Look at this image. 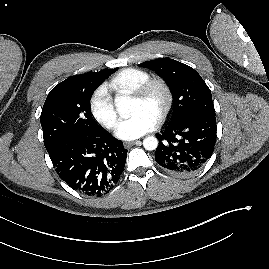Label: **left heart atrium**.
Wrapping results in <instances>:
<instances>
[{
  "label": "left heart atrium",
  "mask_w": 269,
  "mask_h": 269,
  "mask_svg": "<svg viewBox=\"0 0 269 269\" xmlns=\"http://www.w3.org/2000/svg\"><path fill=\"white\" fill-rule=\"evenodd\" d=\"M156 125V117L146 111H138L119 123L116 134L121 139L133 140L152 131Z\"/></svg>",
  "instance_id": "obj_1"
}]
</instances>
